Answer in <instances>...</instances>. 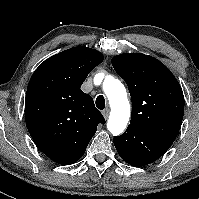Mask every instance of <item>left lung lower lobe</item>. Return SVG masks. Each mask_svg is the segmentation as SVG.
Listing matches in <instances>:
<instances>
[{
    "label": "left lung lower lobe",
    "instance_id": "0a47b994",
    "mask_svg": "<svg viewBox=\"0 0 199 199\" xmlns=\"http://www.w3.org/2000/svg\"><path fill=\"white\" fill-rule=\"evenodd\" d=\"M113 142L120 157L128 164L137 167L154 162L173 143L131 124L124 134L114 137Z\"/></svg>",
    "mask_w": 199,
    "mask_h": 199
}]
</instances>
